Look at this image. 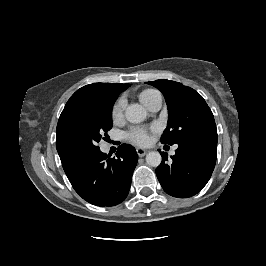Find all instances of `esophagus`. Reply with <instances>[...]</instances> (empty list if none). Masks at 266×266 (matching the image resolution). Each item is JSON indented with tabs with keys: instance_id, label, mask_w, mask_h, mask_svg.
<instances>
[{
	"instance_id": "esophagus-1",
	"label": "esophagus",
	"mask_w": 266,
	"mask_h": 266,
	"mask_svg": "<svg viewBox=\"0 0 266 266\" xmlns=\"http://www.w3.org/2000/svg\"><path fill=\"white\" fill-rule=\"evenodd\" d=\"M136 151L139 157H144L147 154V150H144L142 148H137Z\"/></svg>"
}]
</instances>
